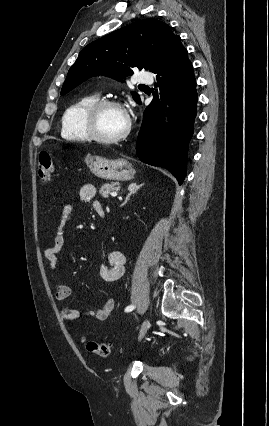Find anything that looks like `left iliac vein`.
Listing matches in <instances>:
<instances>
[{"label":"left iliac vein","mask_w":269,"mask_h":426,"mask_svg":"<svg viewBox=\"0 0 269 426\" xmlns=\"http://www.w3.org/2000/svg\"><path fill=\"white\" fill-rule=\"evenodd\" d=\"M150 326V322L148 319H145L144 322L142 323L141 329H140V333H139V337L138 340L141 341L144 336L146 335L148 329Z\"/></svg>","instance_id":"4c4485c4"}]
</instances>
